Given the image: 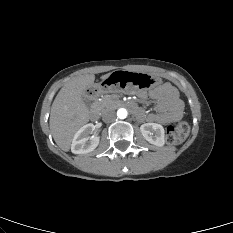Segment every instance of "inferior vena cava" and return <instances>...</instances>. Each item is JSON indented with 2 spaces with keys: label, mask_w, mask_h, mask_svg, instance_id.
Returning <instances> with one entry per match:
<instances>
[{
  "label": "inferior vena cava",
  "mask_w": 233,
  "mask_h": 233,
  "mask_svg": "<svg viewBox=\"0 0 233 233\" xmlns=\"http://www.w3.org/2000/svg\"><path fill=\"white\" fill-rule=\"evenodd\" d=\"M115 117H116L115 112L112 110H107L102 114V119L105 122H111L115 120Z\"/></svg>",
  "instance_id": "1"
}]
</instances>
